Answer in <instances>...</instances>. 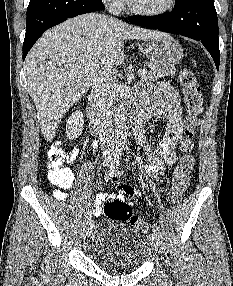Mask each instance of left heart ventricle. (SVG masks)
<instances>
[{
  "label": "left heart ventricle",
  "mask_w": 233,
  "mask_h": 286,
  "mask_svg": "<svg viewBox=\"0 0 233 286\" xmlns=\"http://www.w3.org/2000/svg\"><path fill=\"white\" fill-rule=\"evenodd\" d=\"M132 2L142 9L159 10L167 5L168 0H132Z\"/></svg>",
  "instance_id": "obj_1"
}]
</instances>
